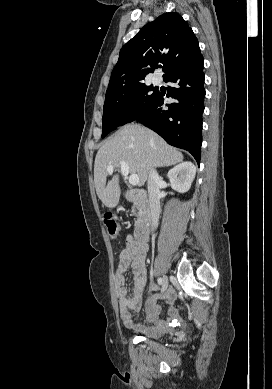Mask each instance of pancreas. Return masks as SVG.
Returning <instances> with one entry per match:
<instances>
[{
  "mask_svg": "<svg viewBox=\"0 0 272 389\" xmlns=\"http://www.w3.org/2000/svg\"><path fill=\"white\" fill-rule=\"evenodd\" d=\"M134 209H137L138 212L137 213H134L138 218H141L142 214H143V211H144V207L143 205H141L139 202H134Z\"/></svg>",
  "mask_w": 272,
  "mask_h": 389,
  "instance_id": "cf45deb5",
  "label": "pancreas"
}]
</instances>
